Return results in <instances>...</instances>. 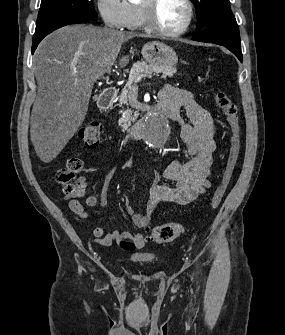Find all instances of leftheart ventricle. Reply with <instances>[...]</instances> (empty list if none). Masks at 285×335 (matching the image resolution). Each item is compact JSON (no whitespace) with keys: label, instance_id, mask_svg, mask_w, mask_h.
I'll list each match as a JSON object with an SVG mask.
<instances>
[{"label":"left heart ventricle","instance_id":"left-heart-ventricle-1","mask_svg":"<svg viewBox=\"0 0 285 335\" xmlns=\"http://www.w3.org/2000/svg\"><path fill=\"white\" fill-rule=\"evenodd\" d=\"M188 11L179 1H159L156 18L160 26L167 30L182 27L187 19Z\"/></svg>","mask_w":285,"mask_h":335}]
</instances>
